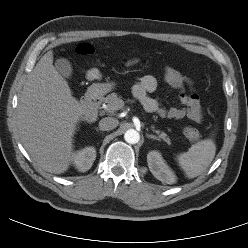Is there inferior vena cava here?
Listing matches in <instances>:
<instances>
[{
    "label": "inferior vena cava",
    "mask_w": 248,
    "mask_h": 248,
    "mask_svg": "<svg viewBox=\"0 0 248 248\" xmlns=\"http://www.w3.org/2000/svg\"><path fill=\"white\" fill-rule=\"evenodd\" d=\"M119 122L116 118L105 117L99 122V129L102 131H109L118 126Z\"/></svg>",
    "instance_id": "602c4592"
}]
</instances>
